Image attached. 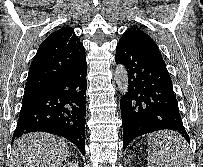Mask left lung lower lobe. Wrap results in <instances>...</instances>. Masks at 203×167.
Returning a JSON list of instances; mask_svg holds the SVG:
<instances>
[{
  "instance_id": "left-lung-lower-lobe-1",
  "label": "left lung lower lobe",
  "mask_w": 203,
  "mask_h": 167,
  "mask_svg": "<svg viewBox=\"0 0 203 167\" xmlns=\"http://www.w3.org/2000/svg\"><path fill=\"white\" fill-rule=\"evenodd\" d=\"M115 61L129 78L120 104L124 149L136 137L164 129L179 132L190 144L164 60L119 40Z\"/></svg>"
}]
</instances>
